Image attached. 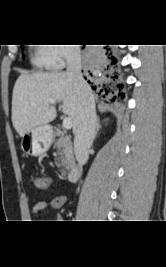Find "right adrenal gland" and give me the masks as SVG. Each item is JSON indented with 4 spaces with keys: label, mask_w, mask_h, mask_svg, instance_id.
<instances>
[{
    "label": "right adrenal gland",
    "mask_w": 166,
    "mask_h": 267,
    "mask_svg": "<svg viewBox=\"0 0 166 267\" xmlns=\"http://www.w3.org/2000/svg\"><path fill=\"white\" fill-rule=\"evenodd\" d=\"M109 119L107 118L104 121H108ZM102 128V125L100 123L99 116L96 117V131H95V136H97L98 131Z\"/></svg>",
    "instance_id": "2a0ac1e0"
}]
</instances>
